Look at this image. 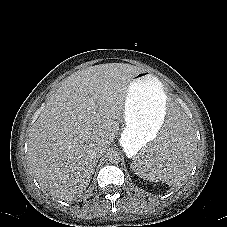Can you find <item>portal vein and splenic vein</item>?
<instances>
[{"label":"portal vein and splenic vein","instance_id":"18ae733b","mask_svg":"<svg viewBox=\"0 0 227 227\" xmlns=\"http://www.w3.org/2000/svg\"><path fill=\"white\" fill-rule=\"evenodd\" d=\"M90 102H91V105L92 106H95V103H94L93 99ZM95 119H98V116L97 115H96Z\"/></svg>","mask_w":227,"mask_h":227}]
</instances>
